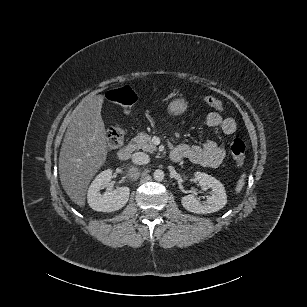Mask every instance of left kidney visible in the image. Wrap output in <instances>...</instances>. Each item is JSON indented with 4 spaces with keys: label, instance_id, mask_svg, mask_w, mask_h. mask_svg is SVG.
Returning <instances> with one entry per match:
<instances>
[{
    "label": "left kidney",
    "instance_id": "1",
    "mask_svg": "<svg viewBox=\"0 0 307 307\" xmlns=\"http://www.w3.org/2000/svg\"><path fill=\"white\" fill-rule=\"evenodd\" d=\"M194 176L195 180L198 181L199 185L204 189H212V195L209 196L204 203L196 199L194 194L184 196L181 200L183 207L197 214L212 213L222 209L227 203V196L222 183L206 173L196 172Z\"/></svg>",
    "mask_w": 307,
    "mask_h": 307
}]
</instances>
